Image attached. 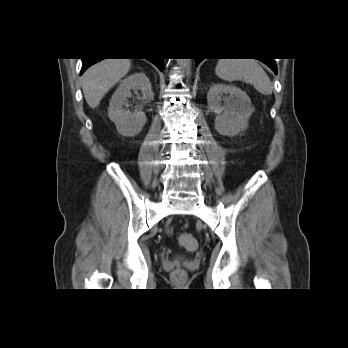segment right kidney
Returning a JSON list of instances; mask_svg holds the SVG:
<instances>
[{
  "label": "right kidney",
  "instance_id": "1",
  "mask_svg": "<svg viewBox=\"0 0 348 348\" xmlns=\"http://www.w3.org/2000/svg\"><path fill=\"white\" fill-rule=\"evenodd\" d=\"M131 91L137 95L138 91L141 92L142 96H139L138 99L143 104L154 99L150 80L144 73L131 74L121 81L111 98L108 116L116 125L117 131L129 137L139 134L147 121L142 106L134 113L124 109V106H128V98L132 96Z\"/></svg>",
  "mask_w": 348,
  "mask_h": 348
}]
</instances>
